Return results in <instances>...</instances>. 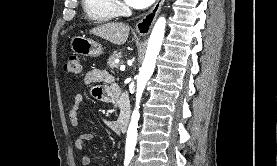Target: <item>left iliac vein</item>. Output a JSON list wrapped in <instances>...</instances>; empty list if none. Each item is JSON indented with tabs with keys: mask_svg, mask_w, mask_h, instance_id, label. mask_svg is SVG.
<instances>
[{
	"mask_svg": "<svg viewBox=\"0 0 277 166\" xmlns=\"http://www.w3.org/2000/svg\"><path fill=\"white\" fill-rule=\"evenodd\" d=\"M130 166H136V164L134 163V161L131 163V165Z\"/></svg>",
	"mask_w": 277,
	"mask_h": 166,
	"instance_id": "1",
	"label": "left iliac vein"
}]
</instances>
